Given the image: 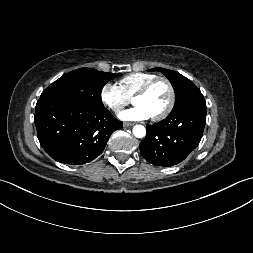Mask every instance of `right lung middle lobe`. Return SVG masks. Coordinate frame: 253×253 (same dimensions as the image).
Segmentation results:
<instances>
[{
    "mask_svg": "<svg viewBox=\"0 0 253 253\" xmlns=\"http://www.w3.org/2000/svg\"><path fill=\"white\" fill-rule=\"evenodd\" d=\"M121 75L80 68L53 82L42 92L40 98L61 99L92 107H103L102 88L108 81Z\"/></svg>",
    "mask_w": 253,
    "mask_h": 253,
    "instance_id": "dd1d6c3e",
    "label": "right lung middle lobe"
}]
</instances>
